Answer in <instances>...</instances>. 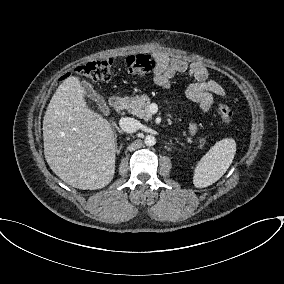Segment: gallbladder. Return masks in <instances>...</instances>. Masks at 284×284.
<instances>
[{
	"label": "gallbladder",
	"instance_id": "gallbladder-1",
	"mask_svg": "<svg viewBox=\"0 0 284 284\" xmlns=\"http://www.w3.org/2000/svg\"><path fill=\"white\" fill-rule=\"evenodd\" d=\"M83 88L86 94L97 104L103 112H107L106 102L103 97L98 94L89 83H84Z\"/></svg>",
	"mask_w": 284,
	"mask_h": 284
}]
</instances>
